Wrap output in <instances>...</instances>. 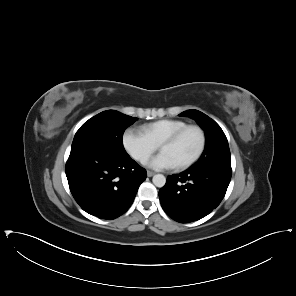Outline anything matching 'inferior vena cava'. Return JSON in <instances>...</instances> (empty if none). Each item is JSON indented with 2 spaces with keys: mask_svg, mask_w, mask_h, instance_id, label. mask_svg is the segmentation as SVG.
<instances>
[{
  "mask_svg": "<svg viewBox=\"0 0 296 296\" xmlns=\"http://www.w3.org/2000/svg\"><path fill=\"white\" fill-rule=\"evenodd\" d=\"M139 159H140L141 162H146L147 161V157L146 156H141Z\"/></svg>",
  "mask_w": 296,
  "mask_h": 296,
  "instance_id": "1",
  "label": "inferior vena cava"
}]
</instances>
